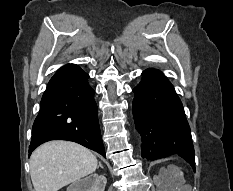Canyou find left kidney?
Listing matches in <instances>:
<instances>
[{"label":"left kidney","mask_w":233,"mask_h":191,"mask_svg":"<svg viewBox=\"0 0 233 191\" xmlns=\"http://www.w3.org/2000/svg\"><path fill=\"white\" fill-rule=\"evenodd\" d=\"M172 185H173L172 191H177V190L180 191L179 188H180L181 183L178 182L176 178L172 180Z\"/></svg>","instance_id":"left-kidney-1"}]
</instances>
